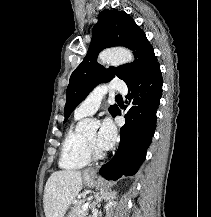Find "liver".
<instances>
[{
    "mask_svg": "<svg viewBox=\"0 0 211 217\" xmlns=\"http://www.w3.org/2000/svg\"><path fill=\"white\" fill-rule=\"evenodd\" d=\"M80 171L61 170L51 174L46 182L43 207L46 217H64L68 207L82 188Z\"/></svg>",
    "mask_w": 211,
    "mask_h": 217,
    "instance_id": "6515ba94",
    "label": "liver"
}]
</instances>
